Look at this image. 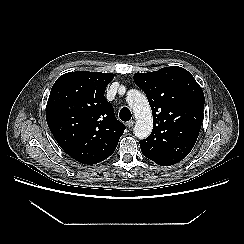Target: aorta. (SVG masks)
<instances>
[{"mask_svg":"<svg viewBox=\"0 0 244 244\" xmlns=\"http://www.w3.org/2000/svg\"><path fill=\"white\" fill-rule=\"evenodd\" d=\"M126 101L136 117L134 135L139 139L148 137L152 131L153 119L148 100L140 91L129 90Z\"/></svg>","mask_w":244,"mask_h":244,"instance_id":"obj_1","label":"aorta"}]
</instances>
